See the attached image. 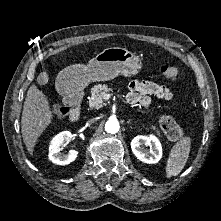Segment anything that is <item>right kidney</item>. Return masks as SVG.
Masks as SVG:
<instances>
[{"label": "right kidney", "mask_w": 221, "mask_h": 221, "mask_svg": "<svg viewBox=\"0 0 221 221\" xmlns=\"http://www.w3.org/2000/svg\"><path fill=\"white\" fill-rule=\"evenodd\" d=\"M72 138L70 131H63L57 134L50 142L49 146V160L57 165H67L73 162L77 156L78 151L70 150L68 154L61 153V145L65 141H69Z\"/></svg>", "instance_id": "right-kidney-1"}]
</instances>
